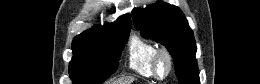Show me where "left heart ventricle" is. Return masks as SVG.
Segmentation results:
<instances>
[{"mask_svg":"<svg viewBox=\"0 0 260 84\" xmlns=\"http://www.w3.org/2000/svg\"><path fill=\"white\" fill-rule=\"evenodd\" d=\"M164 70H165V65H164V64H162V65H161V67H160V73H163V72H164Z\"/></svg>","mask_w":260,"mask_h":84,"instance_id":"obj_1","label":"left heart ventricle"}]
</instances>
